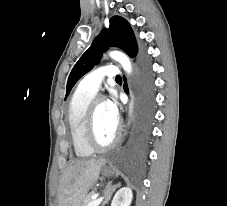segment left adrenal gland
Returning <instances> with one entry per match:
<instances>
[{
    "label": "left adrenal gland",
    "mask_w": 227,
    "mask_h": 206,
    "mask_svg": "<svg viewBox=\"0 0 227 206\" xmlns=\"http://www.w3.org/2000/svg\"><path fill=\"white\" fill-rule=\"evenodd\" d=\"M121 183H117L115 185H112V182H109L107 187H106V191L104 192L105 194V200L102 203V206H104L106 203H108V201L110 200V197L112 195V193L116 190V188L120 187Z\"/></svg>",
    "instance_id": "a2214340"
}]
</instances>
